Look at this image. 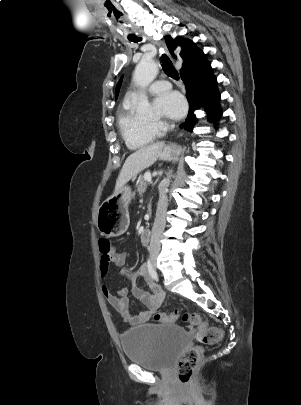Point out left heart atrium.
<instances>
[{
  "instance_id": "obj_1",
  "label": "left heart atrium",
  "mask_w": 301,
  "mask_h": 405,
  "mask_svg": "<svg viewBox=\"0 0 301 405\" xmlns=\"http://www.w3.org/2000/svg\"><path fill=\"white\" fill-rule=\"evenodd\" d=\"M155 107L166 118L177 120L186 112V103L178 92H166L159 95L154 101Z\"/></svg>"
}]
</instances>
